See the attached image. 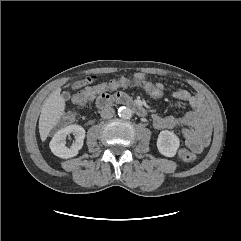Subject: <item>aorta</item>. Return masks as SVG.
Here are the masks:
<instances>
[{
  "mask_svg": "<svg viewBox=\"0 0 241 241\" xmlns=\"http://www.w3.org/2000/svg\"><path fill=\"white\" fill-rule=\"evenodd\" d=\"M132 114V110L128 107H120L118 110V115L123 119H130Z\"/></svg>",
  "mask_w": 241,
  "mask_h": 241,
  "instance_id": "obj_1",
  "label": "aorta"
}]
</instances>
